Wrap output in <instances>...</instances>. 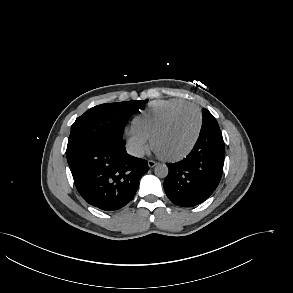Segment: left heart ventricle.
Segmentation results:
<instances>
[{
  "label": "left heart ventricle",
  "instance_id": "left-heart-ventricle-1",
  "mask_svg": "<svg viewBox=\"0 0 293 293\" xmlns=\"http://www.w3.org/2000/svg\"><path fill=\"white\" fill-rule=\"evenodd\" d=\"M197 127L198 115L195 110L187 109L181 112L157 138L155 149L167 156L180 154L191 144Z\"/></svg>",
  "mask_w": 293,
  "mask_h": 293
}]
</instances>
